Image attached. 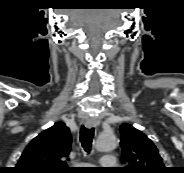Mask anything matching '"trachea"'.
<instances>
[{"mask_svg":"<svg viewBox=\"0 0 184 173\" xmlns=\"http://www.w3.org/2000/svg\"><path fill=\"white\" fill-rule=\"evenodd\" d=\"M94 137V128L88 129L84 126L80 130V142L84 150L89 153L92 146V140Z\"/></svg>","mask_w":184,"mask_h":173,"instance_id":"1","label":"trachea"}]
</instances>
